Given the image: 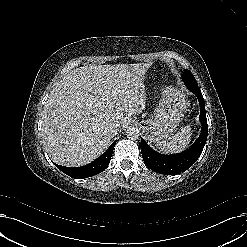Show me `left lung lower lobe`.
<instances>
[{"instance_id": "left-lung-lower-lobe-1", "label": "left lung lower lobe", "mask_w": 247, "mask_h": 247, "mask_svg": "<svg viewBox=\"0 0 247 247\" xmlns=\"http://www.w3.org/2000/svg\"><path fill=\"white\" fill-rule=\"evenodd\" d=\"M186 87L197 96L200 104L202 130L195 143L185 152L173 155H162L150 148L146 142L141 139V153L145 165L160 174L175 175L186 171L200 157L206 143L208 124L205 114L204 98L198 85H186Z\"/></svg>"}]
</instances>
